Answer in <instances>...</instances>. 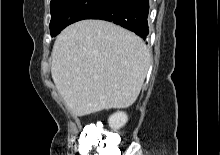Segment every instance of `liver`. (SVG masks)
I'll use <instances>...</instances> for the list:
<instances>
[{"label": "liver", "mask_w": 220, "mask_h": 155, "mask_svg": "<svg viewBox=\"0 0 220 155\" xmlns=\"http://www.w3.org/2000/svg\"><path fill=\"white\" fill-rule=\"evenodd\" d=\"M51 59L52 79L66 107L84 116L131 106L144 83L150 53L124 28L82 20L59 34Z\"/></svg>", "instance_id": "6515ba94"}]
</instances>
